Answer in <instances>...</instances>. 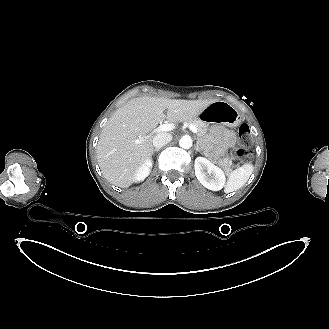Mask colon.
Returning <instances> with one entry per match:
<instances>
[{
    "label": "colon",
    "instance_id": "1",
    "mask_svg": "<svg viewBox=\"0 0 329 329\" xmlns=\"http://www.w3.org/2000/svg\"><path fill=\"white\" fill-rule=\"evenodd\" d=\"M238 141L239 147L234 151V157L240 163L249 162L253 153L250 150V146L253 142L252 132L247 124H241L238 129Z\"/></svg>",
    "mask_w": 329,
    "mask_h": 329
}]
</instances>
